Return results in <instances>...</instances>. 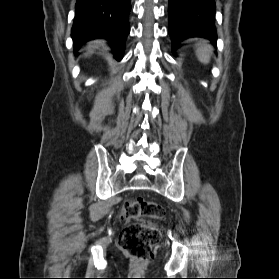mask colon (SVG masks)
Wrapping results in <instances>:
<instances>
[{"label":"colon","mask_w":279,"mask_h":279,"mask_svg":"<svg viewBox=\"0 0 279 279\" xmlns=\"http://www.w3.org/2000/svg\"><path fill=\"white\" fill-rule=\"evenodd\" d=\"M164 215L159 203L141 198L126 201L121 213L126 226L119 237V247L133 259L151 260L161 238L159 221Z\"/></svg>","instance_id":"5ec220e1"}]
</instances>
